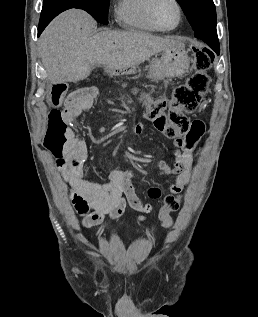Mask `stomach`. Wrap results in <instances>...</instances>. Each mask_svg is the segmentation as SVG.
<instances>
[{
	"label": "stomach",
	"instance_id": "1",
	"mask_svg": "<svg viewBox=\"0 0 258 317\" xmlns=\"http://www.w3.org/2000/svg\"><path fill=\"white\" fill-rule=\"evenodd\" d=\"M190 66V58L186 52L184 42L178 46L162 50L161 58H152L149 70L152 74H164V76H181L187 72Z\"/></svg>",
	"mask_w": 258,
	"mask_h": 317
}]
</instances>
